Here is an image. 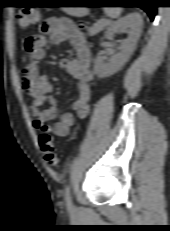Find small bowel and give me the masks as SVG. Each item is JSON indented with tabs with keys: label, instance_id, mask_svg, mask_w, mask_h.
<instances>
[{
	"label": "small bowel",
	"instance_id": "small-bowel-1",
	"mask_svg": "<svg viewBox=\"0 0 170 231\" xmlns=\"http://www.w3.org/2000/svg\"><path fill=\"white\" fill-rule=\"evenodd\" d=\"M41 32L48 35L53 44L68 41L74 51L73 59L64 60L61 67L78 81V97L72 104L71 112L63 113L52 125L49 120L57 118L56 100L52 95V85L46 76L39 71V64L46 56L47 40L42 36H35L38 46L31 53L29 61L23 70V88L31 99L30 113L33 116V126L41 133H53L58 137H65L77 118H85L90 111L93 74L90 69L91 52L85 35L67 18H48L41 24ZM45 103L50 107L43 108Z\"/></svg>",
	"mask_w": 170,
	"mask_h": 231
}]
</instances>
